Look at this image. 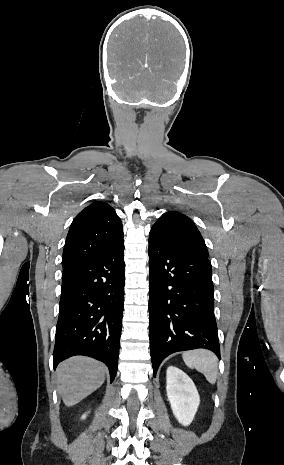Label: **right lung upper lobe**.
Here are the masks:
<instances>
[{"mask_svg":"<svg viewBox=\"0 0 284 465\" xmlns=\"http://www.w3.org/2000/svg\"><path fill=\"white\" fill-rule=\"evenodd\" d=\"M123 241V226L115 210L94 202L73 220L64 246L63 271L79 267L109 252Z\"/></svg>","mask_w":284,"mask_h":465,"instance_id":"1","label":"right lung upper lobe"}]
</instances>
